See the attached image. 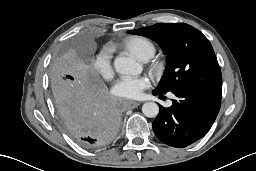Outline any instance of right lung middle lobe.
Segmentation results:
<instances>
[{
    "mask_svg": "<svg viewBox=\"0 0 256 171\" xmlns=\"http://www.w3.org/2000/svg\"><path fill=\"white\" fill-rule=\"evenodd\" d=\"M50 81L55 105H59L82 90L81 84L75 80L66 57L54 60L50 70Z\"/></svg>",
    "mask_w": 256,
    "mask_h": 171,
    "instance_id": "right-lung-middle-lobe-1",
    "label": "right lung middle lobe"
}]
</instances>
